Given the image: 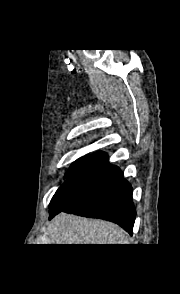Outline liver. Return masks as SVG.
Instances as JSON below:
<instances>
[{"label": "liver", "mask_w": 180, "mask_h": 294, "mask_svg": "<svg viewBox=\"0 0 180 294\" xmlns=\"http://www.w3.org/2000/svg\"><path fill=\"white\" fill-rule=\"evenodd\" d=\"M51 244H128L127 234L117 225L61 213L48 224Z\"/></svg>", "instance_id": "6515ba94"}]
</instances>
